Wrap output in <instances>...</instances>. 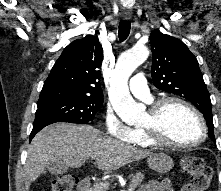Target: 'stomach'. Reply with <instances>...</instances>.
I'll return each instance as SVG.
<instances>
[{
    "label": "stomach",
    "instance_id": "stomach-1",
    "mask_svg": "<svg viewBox=\"0 0 221 191\" xmlns=\"http://www.w3.org/2000/svg\"><path fill=\"white\" fill-rule=\"evenodd\" d=\"M147 163L149 168L159 173H166L173 167V160L165 153L151 154Z\"/></svg>",
    "mask_w": 221,
    "mask_h": 191
}]
</instances>
